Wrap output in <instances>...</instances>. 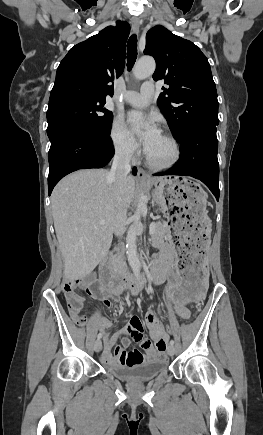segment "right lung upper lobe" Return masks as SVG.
I'll return each instance as SVG.
<instances>
[{
    "label": "right lung upper lobe",
    "instance_id": "cb5924a9",
    "mask_svg": "<svg viewBox=\"0 0 263 435\" xmlns=\"http://www.w3.org/2000/svg\"><path fill=\"white\" fill-rule=\"evenodd\" d=\"M127 22L117 21L70 49L58 66L49 106L69 100H105L113 96L111 83L125 67Z\"/></svg>",
    "mask_w": 263,
    "mask_h": 435
}]
</instances>
